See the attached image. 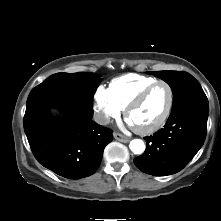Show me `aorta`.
Masks as SVG:
<instances>
[{"instance_id": "obj_1", "label": "aorta", "mask_w": 221, "mask_h": 221, "mask_svg": "<svg viewBox=\"0 0 221 221\" xmlns=\"http://www.w3.org/2000/svg\"><path fill=\"white\" fill-rule=\"evenodd\" d=\"M129 148L134 154H142L145 150V144L140 139H134L130 142Z\"/></svg>"}]
</instances>
